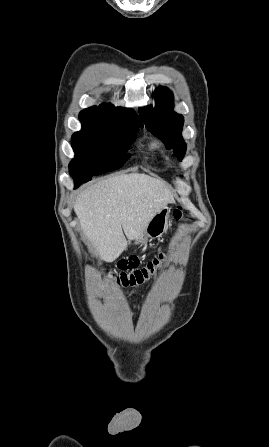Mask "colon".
<instances>
[{"mask_svg": "<svg viewBox=\"0 0 269 447\" xmlns=\"http://www.w3.org/2000/svg\"><path fill=\"white\" fill-rule=\"evenodd\" d=\"M173 218L177 222L185 221L182 208L173 211ZM169 255L165 252L159 253L152 260L140 264V255L131 253L129 257H123L118 266L114 267L109 275L121 291L127 295H134L137 289L146 283L154 282L161 274L162 265L166 263ZM130 271V272H122Z\"/></svg>", "mask_w": 269, "mask_h": 447, "instance_id": "obj_1", "label": "colon"}]
</instances>
